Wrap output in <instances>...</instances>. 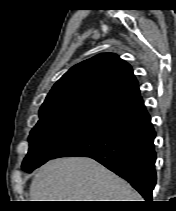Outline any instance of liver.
<instances>
[{
    "label": "liver",
    "mask_w": 176,
    "mask_h": 211,
    "mask_svg": "<svg viewBox=\"0 0 176 211\" xmlns=\"http://www.w3.org/2000/svg\"><path fill=\"white\" fill-rule=\"evenodd\" d=\"M31 201H141L122 178L91 158L69 157L44 164L30 185Z\"/></svg>",
    "instance_id": "liver-1"
}]
</instances>
